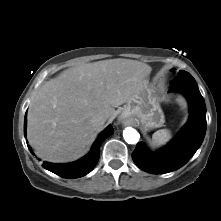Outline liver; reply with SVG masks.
<instances>
[{"mask_svg": "<svg viewBox=\"0 0 221 221\" xmlns=\"http://www.w3.org/2000/svg\"><path fill=\"white\" fill-rule=\"evenodd\" d=\"M152 68L129 59H110L69 68L46 82L31 102L27 137L43 160L76 159L96 130L91 119L113 120L147 84Z\"/></svg>", "mask_w": 221, "mask_h": 221, "instance_id": "1", "label": "liver"}]
</instances>
